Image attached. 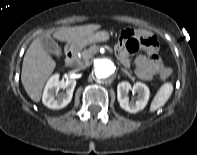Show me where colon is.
<instances>
[{
  "instance_id": "5ec220e1",
  "label": "colon",
  "mask_w": 197,
  "mask_h": 155,
  "mask_svg": "<svg viewBox=\"0 0 197 155\" xmlns=\"http://www.w3.org/2000/svg\"><path fill=\"white\" fill-rule=\"evenodd\" d=\"M121 38H125L128 40V46L130 51H136L140 47L143 46H149L150 44H156V39L154 37H137L135 36V33L131 29H126L122 32ZM171 74V69L166 68L162 75V79H166L170 76Z\"/></svg>"
}]
</instances>
